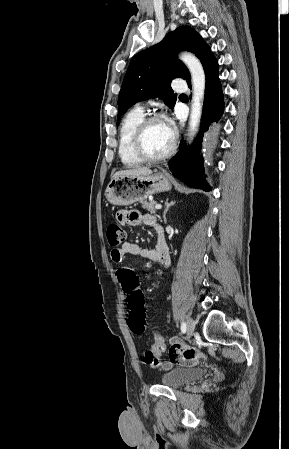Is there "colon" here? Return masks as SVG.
Returning a JSON list of instances; mask_svg holds the SVG:
<instances>
[{"instance_id": "5ec220e1", "label": "colon", "mask_w": 289, "mask_h": 449, "mask_svg": "<svg viewBox=\"0 0 289 449\" xmlns=\"http://www.w3.org/2000/svg\"><path fill=\"white\" fill-rule=\"evenodd\" d=\"M107 240L111 247H120L126 237L123 228L116 224L111 223L107 228ZM117 279L121 285V290L124 292V296L128 298V304L130 309V315L128 324L133 333L142 335L146 332H150L153 337L152 346L144 353V361L150 367H157L160 363V356L167 349L165 348V342L163 337L154 330H148L145 312L143 309V296L140 290L139 281L134 273L133 268H118ZM169 352V350H168Z\"/></svg>"}]
</instances>
